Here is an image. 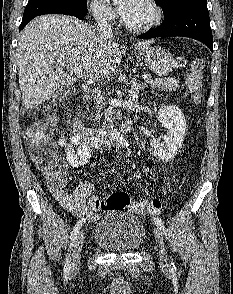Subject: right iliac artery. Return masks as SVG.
Segmentation results:
<instances>
[{"label":"right iliac artery","instance_id":"1","mask_svg":"<svg viewBox=\"0 0 233 294\" xmlns=\"http://www.w3.org/2000/svg\"><path fill=\"white\" fill-rule=\"evenodd\" d=\"M84 223H85V219L83 218V219H80L76 223V225L74 226L73 231H72L71 236H70V239H71V241H70V247H69L70 249L73 246V244H74V242H75V240L77 238V235L79 233V230L83 226ZM69 255L70 254H68V256L66 257L65 264H64V273H65V275H68L69 274L70 268H71Z\"/></svg>","mask_w":233,"mask_h":294}]
</instances>
